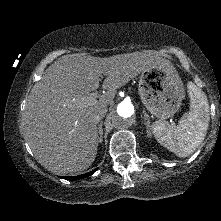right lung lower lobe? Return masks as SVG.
Instances as JSON below:
<instances>
[{"label": "right lung lower lobe", "instance_id": "right-lung-lower-lobe-1", "mask_svg": "<svg viewBox=\"0 0 221 221\" xmlns=\"http://www.w3.org/2000/svg\"><path fill=\"white\" fill-rule=\"evenodd\" d=\"M95 171H96V169L93 170V171H91V172H89V173H86V174L80 175V176H75V177H69V176H68V177H61V178H63V179H67V180H77V179H82V178H85V177H88V176L92 175Z\"/></svg>", "mask_w": 221, "mask_h": 221}]
</instances>
